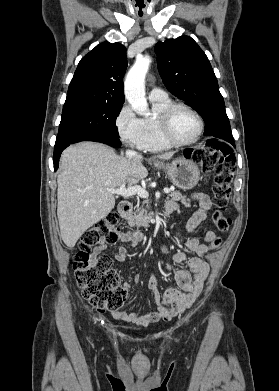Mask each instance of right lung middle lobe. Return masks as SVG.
Instances as JSON below:
<instances>
[{
    "instance_id": "right-lung-middle-lobe-1",
    "label": "right lung middle lobe",
    "mask_w": 279,
    "mask_h": 391,
    "mask_svg": "<svg viewBox=\"0 0 279 391\" xmlns=\"http://www.w3.org/2000/svg\"><path fill=\"white\" fill-rule=\"evenodd\" d=\"M121 107V104H90L63 110L55 145L106 132L117 135L116 118Z\"/></svg>"
}]
</instances>
